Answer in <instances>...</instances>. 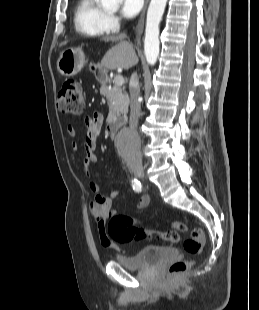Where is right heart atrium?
I'll return each mask as SVG.
<instances>
[{
	"instance_id": "right-heart-atrium-1",
	"label": "right heart atrium",
	"mask_w": 259,
	"mask_h": 310,
	"mask_svg": "<svg viewBox=\"0 0 259 310\" xmlns=\"http://www.w3.org/2000/svg\"><path fill=\"white\" fill-rule=\"evenodd\" d=\"M106 24H107L108 30L114 31V30H116L119 27L120 21H119V18L116 15H114V14H107Z\"/></svg>"
}]
</instances>
